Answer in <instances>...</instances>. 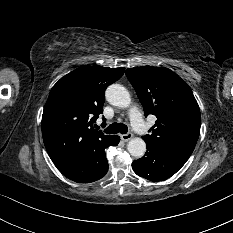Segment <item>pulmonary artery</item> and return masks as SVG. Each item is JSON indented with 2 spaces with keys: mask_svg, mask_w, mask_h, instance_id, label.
Instances as JSON below:
<instances>
[{
  "mask_svg": "<svg viewBox=\"0 0 233 233\" xmlns=\"http://www.w3.org/2000/svg\"><path fill=\"white\" fill-rule=\"evenodd\" d=\"M128 117L130 119L133 129L139 133H144L147 130V125L143 120L142 114L136 105H133L128 110Z\"/></svg>",
  "mask_w": 233,
  "mask_h": 233,
  "instance_id": "pulmonary-artery-1",
  "label": "pulmonary artery"
}]
</instances>
